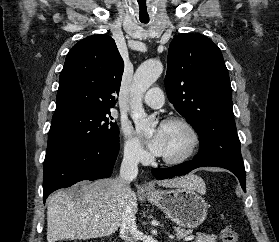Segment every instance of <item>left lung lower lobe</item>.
I'll use <instances>...</instances> for the list:
<instances>
[{
  "instance_id": "1",
  "label": "left lung lower lobe",
  "mask_w": 279,
  "mask_h": 242,
  "mask_svg": "<svg viewBox=\"0 0 279 242\" xmlns=\"http://www.w3.org/2000/svg\"><path fill=\"white\" fill-rule=\"evenodd\" d=\"M203 166L221 167L231 171L239 179L242 189L246 191L245 169L223 161H207L194 159L192 161H186L184 163L169 168H154L152 169V173L157 179H166L174 176L185 175L190 171Z\"/></svg>"
}]
</instances>
